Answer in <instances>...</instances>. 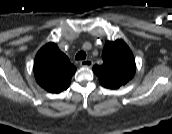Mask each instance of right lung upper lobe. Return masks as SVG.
<instances>
[{
    "label": "right lung upper lobe",
    "instance_id": "obj_1",
    "mask_svg": "<svg viewBox=\"0 0 172 134\" xmlns=\"http://www.w3.org/2000/svg\"><path fill=\"white\" fill-rule=\"evenodd\" d=\"M75 72L76 67L55 43H47L35 56V79L48 92L60 93L66 90Z\"/></svg>",
    "mask_w": 172,
    "mask_h": 134
}]
</instances>
